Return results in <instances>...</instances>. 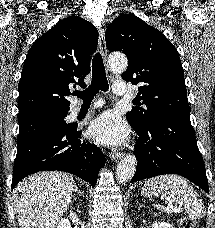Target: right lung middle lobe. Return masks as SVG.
<instances>
[{
  "instance_id": "dd1d6c3e",
  "label": "right lung middle lobe",
  "mask_w": 215,
  "mask_h": 228,
  "mask_svg": "<svg viewBox=\"0 0 215 228\" xmlns=\"http://www.w3.org/2000/svg\"><path fill=\"white\" fill-rule=\"evenodd\" d=\"M68 113L45 115L19 123L20 131L17 141L28 138L41 131L54 128H73V124H67L65 121Z\"/></svg>"
}]
</instances>
